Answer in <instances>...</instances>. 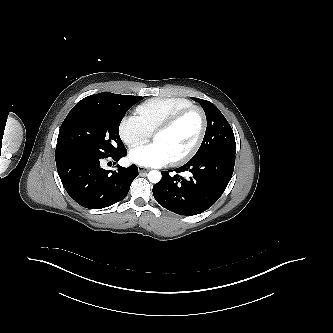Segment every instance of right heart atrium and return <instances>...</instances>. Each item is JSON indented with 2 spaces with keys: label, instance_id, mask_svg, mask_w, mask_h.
<instances>
[{
  "label": "right heart atrium",
  "instance_id": "d8ad5b80",
  "mask_svg": "<svg viewBox=\"0 0 333 333\" xmlns=\"http://www.w3.org/2000/svg\"><path fill=\"white\" fill-rule=\"evenodd\" d=\"M121 140L129 148H134L147 142L151 133L147 130L137 115H125L118 126Z\"/></svg>",
  "mask_w": 333,
  "mask_h": 333
}]
</instances>
